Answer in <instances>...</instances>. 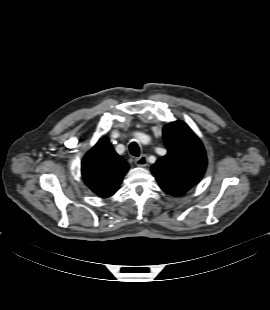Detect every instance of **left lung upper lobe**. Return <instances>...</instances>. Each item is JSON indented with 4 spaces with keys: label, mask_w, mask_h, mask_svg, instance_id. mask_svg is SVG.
I'll return each mask as SVG.
<instances>
[{
    "label": "left lung upper lobe",
    "mask_w": 270,
    "mask_h": 310,
    "mask_svg": "<svg viewBox=\"0 0 270 310\" xmlns=\"http://www.w3.org/2000/svg\"><path fill=\"white\" fill-rule=\"evenodd\" d=\"M163 139L168 153L152 165V172L165 192L185 193L204 175L207 165L204 146L182 121L166 125Z\"/></svg>",
    "instance_id": "1"
}]
</instances>
